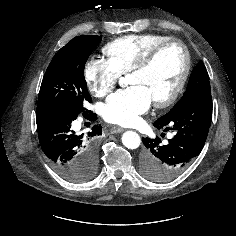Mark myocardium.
<instances>
[{
    "mask_svg": "<svg viewBox=\"0 0 236 236\" xmlns=\"http://www.w3.org/2000/svg\"><path fill=\"white\" fill-rule=\"evenodd\" d=\"M173 44L178 45L181 48L184 55V66L178 82L176 83L171 93L163 99L154 101V106L157 108H166L171 106L178 99L179 95L185 87L191 70L190 53L185 43L177 38H170L168 40H165L151 48L146 53V55L130 70V74H132L148 69L153 64L159 53H161L166 47Z\"/></svg>",
    "mask_w": 236,
    "mask_h": 236,
    "instance_id": "1",
    "label": "myocardium"
}]
</instances>
